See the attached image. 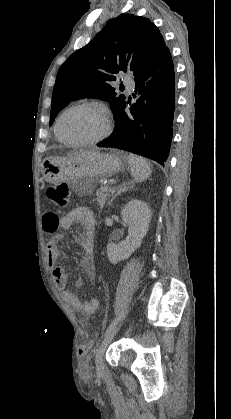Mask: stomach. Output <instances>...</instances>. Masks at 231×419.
<instances>
[{"instance_id": "obj_1", "label": "stomach", "mask_w": 231, "mask_h": 419, "mask_svg": "<svg viewBox=\"0 0 231 419\" xmlns=\"http://www.w3.org/2000/svg\"><path fill=\"white\" fill-rule=\"evenodd\" d=\"M125 163L123 154L88 150L47 158L42 162L41 172L49 183L70 181L76 192L84 193L94 188L98 180L117 173Z\"/></svg>"}]
</instances>
